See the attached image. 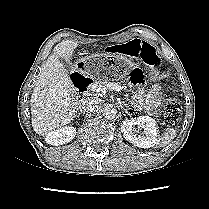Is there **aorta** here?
<instances>
[{
  "instance_id": "obj_1",
  "label": "aorta",
  "mask_w": 209,
  "mask_h": 209,
  "mask_svg": "<svg viewBox=\"0 0 209 209\" xmlns=\"http://www.w3.org/2000/svg\"><path fill=\"white\" fill-rule=\"evenodd\" d=\"M102 115L106 119H113L117 115V109L113 105H105L102 109Z\"/></svg>"
}]
</instances>
